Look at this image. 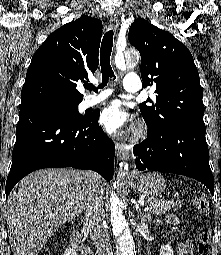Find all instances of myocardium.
Listing matches in <instances>:
<instances>
[{
  "label": "myocardium",
  "mask_w": 221,
  "mask_h": 255,
  "mask_svg": "<svg viewBox=\"0 0 221 255\" xmlns=\"http://www.w3.org/2000/svg\"><path fill=\"white\" fill-rule=\"evenodd\" d=\"M143 134H144V131H143V129H136L135 131H134V136H135V138H141L142 136H143Z\"/></svg>",
  "instance_id": "obj_1"
}]
</instances>
